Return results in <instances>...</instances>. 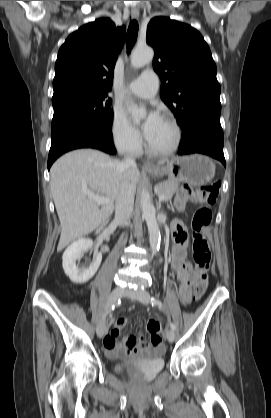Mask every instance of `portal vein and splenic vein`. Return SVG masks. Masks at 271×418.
I'll return each mask as SVG.
<instances>
[{
	"mask_svg": "<svg viewBox=\"0 0 271 418\" xmlns=\"http://www.w3.org/2000/svg\"><path fill=\"white\" fill-rule=\"evenodd\" d=\"M88 197L90 199H93L98 205L109 204L111 202V200L107 197L95 195V194H92V193H89ZM164 198H165L164 195H160L159 196V201H164Z\"/></svg>",
	"mask_w": 271,
	"mask_h": 418,
	"instance_id": "portal-vein-and-splenic-vein-1",
	"label": "portal vein and splenic vein"
}]
</instances>
